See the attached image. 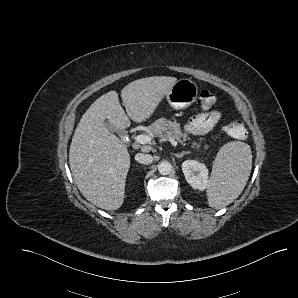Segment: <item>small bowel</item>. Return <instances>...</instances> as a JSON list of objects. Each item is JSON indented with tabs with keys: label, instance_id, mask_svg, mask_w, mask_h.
<instances>
[{
	"label": "small bowel",
	"instance_id": "1",
	"mask_svg": "<svg viewBox=\"0 0 298 298\" xmlns=\"http://www.w3.org/2000/svg\"><path fill=\"white\" fill-rule=\"evenodd\" d=\"M221 116L218 110L198 114L185 124V130L194 135H204L215 127Z\"/></svg>",
	"mask_w": 298,
	"mask_h": 298
}]
</instances>
